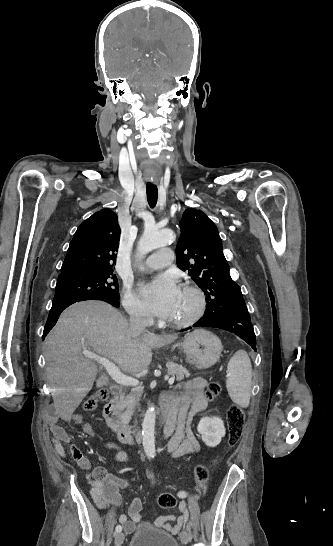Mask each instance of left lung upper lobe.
I'll use <instances>...</instances> for the list:
<instances>
[{"mask_svg":"<svg viewBox=\"0 0 333 546\" xmlns=\"http://www.w3.org/2000/svg\"><path fill=\"white\" fill-rule=\"evenodd\" d=\"M176 247V264L206 295L205 314L245 305L241 289L229 273L216 225L194 208L184 211Z\"/></svg>","mask_w":333,"mask_h":546,"instance_id":"5c2ea615","label":"left lung upper lobe"}]
</instances>
